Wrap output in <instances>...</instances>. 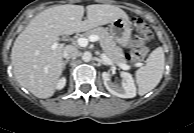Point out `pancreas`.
Segmentation results:
<instances>
[{"instance_id":"cf45deb5","label":"pancreas","mask_w":194,"mask_h":133,"mask_svg":"<svg viewBox=\"0 0 194 133\" xmlns=\"http://www.w3.org/2000/svg\"><path fill=\"white\" fill-rule=\"evenodd\" d=\"M85 35L87 37L91 35H98L100 38V45L103 48L104 53L116 64H126V59L122 48L117 45L113 36L103 27H96L88 30Z\"/></svg>"}]
</instances>
